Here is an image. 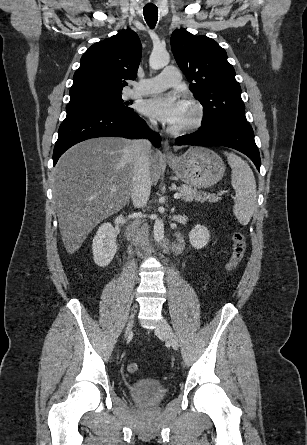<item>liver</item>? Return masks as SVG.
I'll use <instances>...</instances> for the list:
<instances>
[{"instance_id": "6515ba94", "label": "liver", "mask_w": 307, "mask_h": 445, "mask_svg": "<svg viewBox=\"0 0 307 445\" xmlns=\"http://www.w3.org/2000/svg\"><path fill=\"white\" fill-rule=\"evenodd\" d=\"M131 142L118 136L89 138L59 158L52 178L54 204L69 255L80 249L101 220L127 204L134 174ZM149 162L151 184H157L162 154L150 150Z\"/></svg>"}]
</instances>
